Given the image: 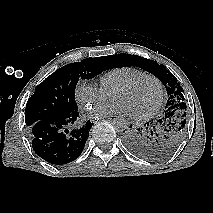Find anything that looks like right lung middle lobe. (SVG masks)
Wrapping results in <instances>:
<instances>
[{"label":"right lung middle lobe","instance_id":"dd1d6c3e","mask_svg":"<svg viewBox=\"0 0 213 213\" xmlns=\"http://www.w3.org/2000/svg\"><path fill=\"white\" fill-rule=\"evenodd\" d=\"M109 68L107 57H97L56 70L35 88L26 104L25 122L28 128L38 121L77 111L75 88L79 79L92 78Z\"/></svg>","mask_w":213,"mask_h":213}]
</instances>
